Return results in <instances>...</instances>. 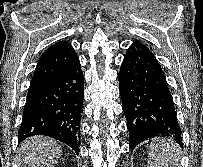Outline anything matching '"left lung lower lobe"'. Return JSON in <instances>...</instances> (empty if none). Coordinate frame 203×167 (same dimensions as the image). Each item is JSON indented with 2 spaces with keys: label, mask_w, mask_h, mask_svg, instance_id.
Here are the masks:
<instances>
[{
  "label": "left lung lower lobe",
  "mask_w": 203,
  "mask_h": 167,
  "mask_svg": "<svg viewBox=\"0 0 203 167\" xmlns=\"http://www.w3.org/2000/svg\"><path fill=\"white\" fill-rule=\"evenodd\" d=\"M130 143L155 137L174 139L182 147V131L164 73L148 47L135 41L127 50L118 74Z\"/></svg>",
  "instance_id": "obj_1"
}]
</instances>
